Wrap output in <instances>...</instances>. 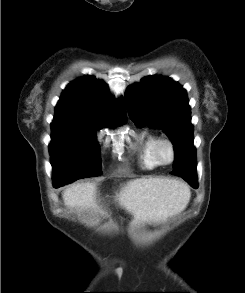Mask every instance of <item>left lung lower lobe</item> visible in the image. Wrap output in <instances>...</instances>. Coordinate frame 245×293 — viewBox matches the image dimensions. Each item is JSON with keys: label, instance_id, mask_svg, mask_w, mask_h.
<instances>
[{"label": "left lung lower lobe", "instance_id": "obj_1", "mask_svg": "<svg viewBox=\"0 0 245 293\" xmlns=\"http://www.w3.org/2000/svg\"><path fill=\"white\" fill-rule=\"evenodd\" d=\"M178 176L183 178L193 188H198L197 176H193L190 174H183V175H178Z\"/></svg>", "mask_w": 245, "mask_h": 293}]
</instances>
